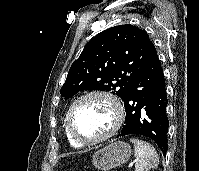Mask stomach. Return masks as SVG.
Segmentation results:
<instances>
[{
  "label": "stomach",
  "instance_id": "0dacf381",
  "mask_svg": "<svg viewBox=\"0 0 199 171\" xmlns=\"http://www.w3.org/2000/svg\"><path fill=\"white\" fill-rule=\"evenodd\" d=\"M131 147L123 141L113 142L96 151L92 156V164L99 170L108 171L126 163L131 156Z\"/></svg>",
  "mask_w": 199,
  "mask_h": 171
}]
</instances>
